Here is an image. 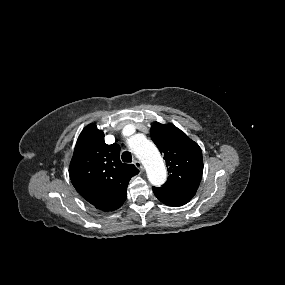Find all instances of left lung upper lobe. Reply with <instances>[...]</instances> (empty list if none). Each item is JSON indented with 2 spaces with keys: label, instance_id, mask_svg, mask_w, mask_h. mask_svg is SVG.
<instances>
[{
  "label": "left lung upper lobe",
  "instance_id": "5c2ea615",
  "mask_svg": "<svg viewBox=\"0 0 285 285\" xmlns=\"http://www.w3.org/2000/svg\"><path fill=\"white\" fill-rule=\"evenodd\" d=\"M150 135L168 167L169 177L163 187L196 192L203 173L199 145L172 124L155 122Z\"/></svg>",
  "mask_w": 285,
  "mask_h": 285
}]
</instances>
